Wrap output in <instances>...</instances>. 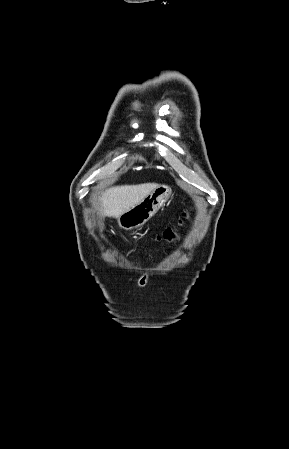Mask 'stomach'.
Segmentation results:
<instances>
[{"label":"stomach","mask_w":289,"mask_h":449,"mask_svg":"<svg viewBox=\"0 0 289 449\" xmlns=\"http://www.w3.org/2000/svg\"><path fill=\"white\" fill-rule=\"evenodd\" d=\"M172 194L167 185H158L140 203L117 218L118 226L131 230L144 225L167 202Z\"/></svg>","instance_id":"1"}]
</instances>
